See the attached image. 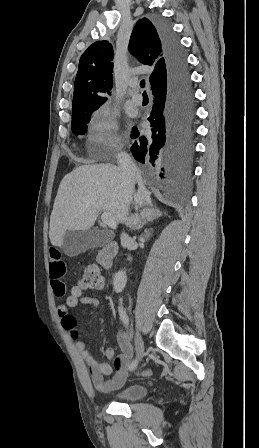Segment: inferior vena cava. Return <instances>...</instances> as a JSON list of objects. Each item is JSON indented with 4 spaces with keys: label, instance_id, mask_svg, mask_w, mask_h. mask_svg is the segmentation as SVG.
Here are the masks:
<instances>
[{
    "label": "inferior vena cava",
    "instance_id": "1",
    "mask_svg": "<svg viewBox=\"0 0 259 448\" xmlns=\"http://www.w3.org/2000/svg\"><path fill=\"white\" fill-rule=\"evenodd\" d=\"M117 164L120 170L122 186L125 190H127V192H131L132 194L136 182L140 180L138 170L132 158H130L129 154H126V152H121V154H118ZM120 240L123 248H127V246L132 244V240L129 238L128 234H121ZM128 260H131V258H128Z\"/></svg>",
    "mask_w": 259,
    "mask_h": 448
}]
</instances>
